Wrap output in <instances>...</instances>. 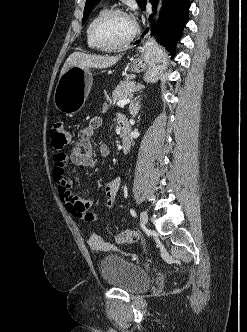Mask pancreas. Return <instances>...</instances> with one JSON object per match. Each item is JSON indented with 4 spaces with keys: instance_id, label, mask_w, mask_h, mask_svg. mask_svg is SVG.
I'll return each instance as SVG.
<instances>
[{
    "instance_id": "pancreas-1",
    "label": "pancreas",
    "mask_w": 247,
    "mask_h": 332,
    "mask_svg": "<svg viewBox=\"0 0 247 332\" xmlns=\"http://www.w3.org/2000/svg\"><path fill=\"white\" fill-rule=\"evenodd\" d=\"M141 89V85H137L134 81H122L117 85L115 90L112 93V101L127 99L132 97L135 91Z\"/></svg>"
}]
</instances>
